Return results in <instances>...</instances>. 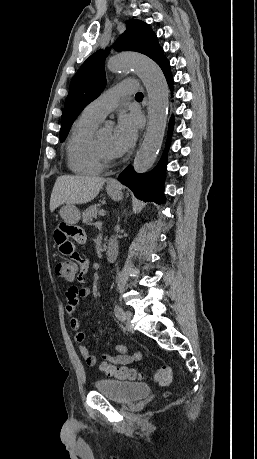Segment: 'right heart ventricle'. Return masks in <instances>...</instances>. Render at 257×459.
Masks as SVG:
<instances>
[{
  "mask_svg": "<svg viewBox=\"0 0 257 459\" xmlns=\"http://www.w3.org/2000/svg\"><path fill=\"white\" fill-rule=\"evenodd\" d=\"M100 120L82 113L75 121L66 145L69 169L78 175H95L104 165L94 152V136Z\"/></svg>",
  "mask_w": 257,
  "mask_h": 459,
  "instance_id": "1",
  "label": "right heart ventricle"
}]
</instances>
